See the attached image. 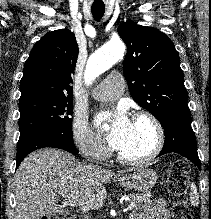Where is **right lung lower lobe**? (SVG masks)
<instances>
[{
	"instance_id": "1",
	"label": "right lung lower lobe",
	"mask_w": 211,
	"mask_h": 219,
	"mask_svg": "<svg viewBox=\"0 0 211 219\" xmlns=\"http://www.w3.org/2000/svg\"><path fill=\"white\" fill-rule=\"evenodd\" d=\"M44 147H55L66 150L72 154L78 153L73 142V136H66L51 130L36 131L19 138L17 144L16 168H18L22 160L29 153Z\"/></svg>"
}]
</instances>
